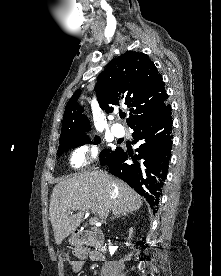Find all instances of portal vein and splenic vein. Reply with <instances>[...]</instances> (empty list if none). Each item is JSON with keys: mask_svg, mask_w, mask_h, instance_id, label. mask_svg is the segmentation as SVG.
Instances as JSON below:
<instances>
[{"mask_svg": "<svg viewBox=\"0 0 221 276\" xmlns=\"http://www.w3.org/2000/svg\"><path fill=\"white\" fill-rule=\"evenodd\" d=\"M73 211L74 210H71L70 212L72 213ZM86 211L88 212V209H86ZM90 224H92V225H98L100 223L98 222V219L93 218V219L90 220Z\"/></svg>", "mask_w": 221, "mask_h": 276, "instance_id": "obj_1", "label": "portal vein and splenic vein"}]
</instances>
